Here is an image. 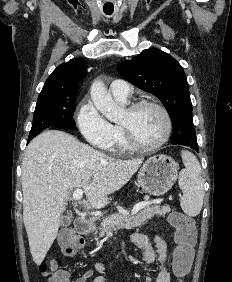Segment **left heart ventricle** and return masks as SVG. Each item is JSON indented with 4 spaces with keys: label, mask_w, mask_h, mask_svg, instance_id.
<instances>
[{
    "label": "left heart ventricle",
    "mask_w": 232,
    "mask_h": 282,
    "mask_svg": "<svg viewBox=\"0 0 232 282\" xmlns=\"http://www.w3.org/2000/svg\"><path fill=\"white\" fill-rule=\"evenodd\" d=\"M131 130L135 140L143 145L158 142L164 135L166 124L159 110L151 106H144L135 112L126 110L121 120Z\"/></svg>",
    "instance_id": "left-heart-ventricle-1"
}]
</instances>
